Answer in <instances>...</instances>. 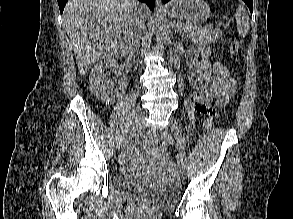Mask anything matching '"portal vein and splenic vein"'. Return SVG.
<instances>
[{
  "label": "portal vein and splenic vein",
  "mask_w": 293,
  "mask_h": 219,
  "mask_svg": "<svg viewBox=\"0 0 293 219\" xmlns=\"http://www.w3.org/2000/svg\"><path fill=\"white\" fill-rule=\"evenodd\" d=\"M177 26L179 27V26H180V24H177ZM212 27H213V26H212V25H210V26H208V27H204V29H210V30H211V29H212Z\"/></svg>",
  "instance_id": "portal-vein-and-splenic-vein-1"
}]
</instances>
